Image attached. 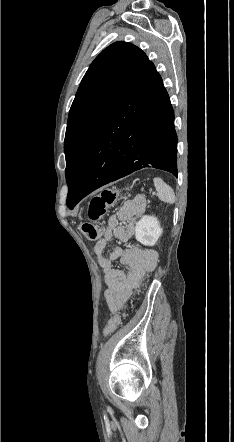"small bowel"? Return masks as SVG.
Returning <instances> with one entry per match:
<instances>
[{
	"mask_svg": "<svg viewBox=\"0 0 234 442\" xmlns=\"http://www.w3.org/2000/svg\"><path fill=\"white\" fill-rule=\"evenodd\" d=\"M144 198L137 197L126 201L109 219L105 234L93 247V253L104 272L106 284L105 298L109 311L114 314L126 304L140 279L153 271L157 264V254L139 247H114L104 256V249L115 238L121 245H127L134 230V221L145 210ZM119 260L127 266L126 271L115 269L113 262Z\"/></svg>",
	"mask_w": 234,
	"mask_h": 442,
	"instance_id": "c3829d8e",
	"label": "small bowel"
}]
</instances>
